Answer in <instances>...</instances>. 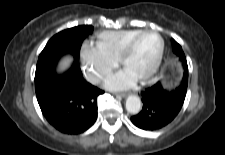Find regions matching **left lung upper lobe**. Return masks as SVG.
<instances>
[{
	"label": "left lung upper lobe",
	"mask_w": 225,
	"mask_h": 155,
	"mask_svg": "<svg viewBox=\"0 0 225 155\" xmlns=\"http://www.w3.org/2000/svg\"><path fill=\"white\" fill-rule=\"evenodd\" d=\"M172 43H173V52L179 56V58L183 64L184 77H183L182 81L188 82V66H187V61H186L185 55L182 51L181 46L174 39H172Z\"/></svg>",
	"instance_id": "obj_1"
}]
</instances>
